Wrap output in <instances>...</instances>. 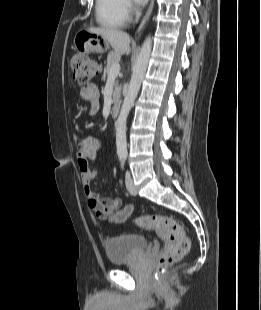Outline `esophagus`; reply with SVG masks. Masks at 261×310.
<instances>
[{
    "label": "esophagus",
    "instance_id": "obj_1",
    "mask_svg": "<svg viewBox=\"0 0 261 310\" xmlns=\"http://www.w3.org/2000/svg\"><path fill=\"white\" fill-rule=\"evenodd\" d=\"M153 6H154V0H151V3L143 17V19L141 20L140 24H139V27H138V30H137V33L140 34L142 32V30L144 29L151 13H152V10H153Z\"/></svg>",
    "mask_w": 261,
    "mask_h": 310
}]
</instances>
